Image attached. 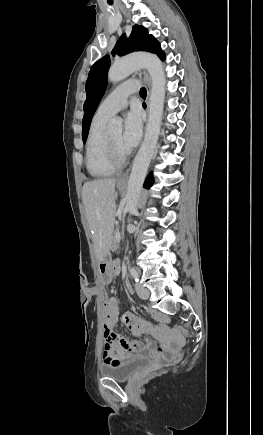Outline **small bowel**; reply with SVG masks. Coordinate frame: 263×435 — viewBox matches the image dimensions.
I'll return each mask as SVG.
<instances>
[{"mask_svg":"<svg viewBox=\"0 0 263 435\" xmlns=\"http://www.w3.org/2000/svg\"><path fill=\"white\" fill-rule=\"evenodd\" d=\"M110 269L117 275L120 271V262L115 260L111 264ZM152 315L161 323L169 322V318L163 314L153 312ZM118 323H122L136 333L155 334L158 341L165 342L163 347H157L155 351L150 341L144 342L139 339H128L115 333L111 350H103V362L105 364H117L146 353L154 354L156 352L157 356H168L169 350L173 348L181 350L183 348L181 341L172 342L177 339L175 332H160V329L153 328L147 321L130 312L120 315L117 300L114 297H110L103 307V328L114 329Z\"/></svg>","mask_w":263,"mask_h":435,"instance_id":"c3829d8e","label":"small bowel"}]
</instances>
